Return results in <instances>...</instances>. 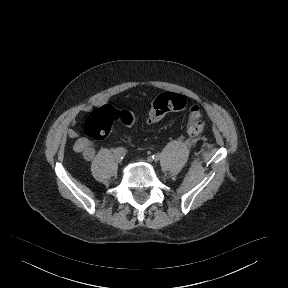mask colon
Instances as JSON below:
<instances>
[{
  "mask_svg": "<svg viewBox=\"0 0 288 288\" xmlns=\"http://www.w3.org/2000/svg\"><path fill=\"white\" fill-rule=\"evenodd\" d=\"M186 105L187 99L182 94L165 93L153 101L148 111L147 123L159 122L169 113L183 110ZM118 117H120L122 123L128 126H133L136 121L135 117L127 111H119L108 105L96 108L85 121L84 130L86 135L93 141L106 139L113 129L115 118ZM203 128L202 112L199 107L192 106L188 110L187 133L198 135L203 131ZM89 146L91 147L90 144ZM89 156V154H84L83 157L88 159Z\"/></svg>",
  "mask_w": 288,
  "mask_h": 288,
  "instance_id": "colon-1",
  "label": "colon"
}]
</instances>
